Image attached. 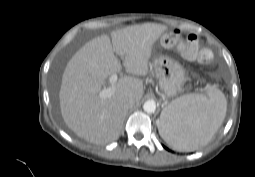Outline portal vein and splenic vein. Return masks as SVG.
I'll return each instance as SVG.
<instances>
[{"label": "portal vein and splenic vein", "instance_id": "obj_1", "mask_svg": "<svg viewBox=\"0 0 255 177\" xmlns=\"http://www.w3.org/2000/svg\"><path fill=\"white\" fill-rule=\"evenodd\" d=\"M118 80L117 74H112L109 78L110 86L100 91L99 97L102 99L111 97L115 90V83Z\"/></svg>", "mask_w": 255, "mask_h": 177}]
</instances>
